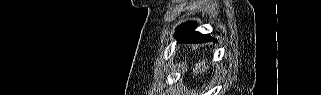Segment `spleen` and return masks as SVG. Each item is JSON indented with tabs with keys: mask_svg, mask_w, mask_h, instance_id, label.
<instances>
[{
	"mask_svg": "<svg viewBox=\"0 0 321 95\" xmlns=\"http://www.w3.org/2000/svg\"><path fill=\"white\" fill-rule=\"evenodd\" d=\"M209 69V65L207 64V59H203L202 61H199L196 66H195V70L194 73L195 75L199 74V73H203V72H207V70Z\"/></svg>",
	"mask_w": 321,
	"mask_h": 95,
	"instance_id": "spleen-1",
	"label": "spleen"
}]
</instances>
